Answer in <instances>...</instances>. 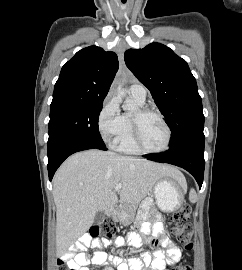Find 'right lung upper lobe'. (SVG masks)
<instances>
[{"label": "right lung upper lobe", "instance_id": "cb5924a9", "mask_svg": "<svg viewBox=\"0 0 242 270\" xmlns=\"http://www.w3.org/2000/svg\"><path fill=\"white\" fill-rule=\"evenodd\" d=\"M118 67L114 52L97 46L78 51L61 69L51 106L103 103Z\"/></svg>", "mask_w": 242, "mask_h": 270}]
</instances>
